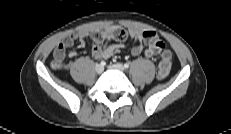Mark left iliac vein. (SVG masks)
<instances>
[{"label":"left iliac vein","instance_id":"left-iliac-vein-1","mask_svg":"<svg viewBox=\"0 0 231 134\" xmlns=\"http://www.w3.org/2000/svg\"><path fill=\"white\" fill-rule=\"evenodd\" d=\"M109 69H113V70H118L123 72L124 71V66L120 63H116V64H111L108 66Z\"/></svg>","mask_w":231,"mask_h":134}]
</instances>
